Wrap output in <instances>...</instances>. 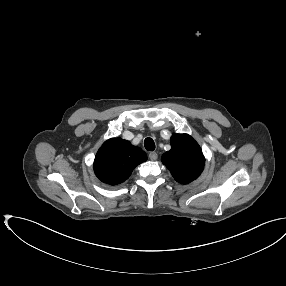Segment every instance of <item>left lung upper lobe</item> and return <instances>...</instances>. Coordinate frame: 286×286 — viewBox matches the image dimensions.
<instances>
[{"instance_id":"left-lung-upper-lobe-1","label":"left lung upper lobe","mask_w":286,"mask_h":286,"mask_svg":"<svg viewBox=\"0 0 286 286\" xmlns=\"http://www.w3.org/2000/svg\"><path fill=\"white\" fill-rule=\"evenodd\" d=\"M161 160L174 179L181 184L197 179L205 163L200 146L188 134H173L171 150L164 153Z\"/></svg>"}]
</instances>
